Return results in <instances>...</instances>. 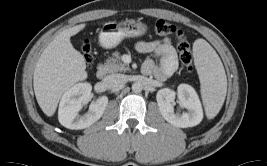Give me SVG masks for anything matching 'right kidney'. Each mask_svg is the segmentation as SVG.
I'll use <instances>...</instances> for the list:
<instances>
[{
	"instance_id": "ca27d5eb",
	"label": "right kidney",
	"mask_w": 267,
	"mask_h": 166,
	"mask_svg": "<svg viewBox=\"0 0 267 166\" xmlns=\"http://www.w3.org/2000/svg\"><path fill=\"white\" fill-rule=\"evenodd\" d=\"M91 90V84L78 83L63 94L58 110V119L61 125L68 129H84L101 118L108 104L106 96L92 102L88 112L79 116L82 106L92 98Z\"/></svg>"
}]
</instances>
